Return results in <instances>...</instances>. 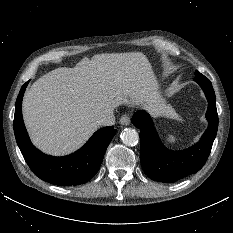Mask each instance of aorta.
Wrapping results in <instances>:
<instances>
[{
	"label": "aorta",
	"mask_w": 233,
	"mask_h": 233,
	"mask_svg": "<svg viewBox=\"0 0 233 233\" xmlns=\"http://www.w3.org/2000/svg\"><path fill=\"white\" fill-rule=\"evenodd\" d=\"M122 142L127 146H134L139 141V134L135 129L126 128L120 135Z\"/></svg>",
	"instance_id": "aorta-1"
}]
</instances>
